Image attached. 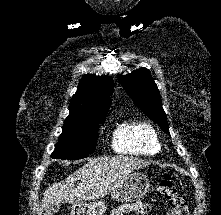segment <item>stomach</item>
<instances>
[{"mask_svg": "<svg viewBox=\"0 0 221 215\" xmlns=\"http://www.w3.org/2000/svg\"><path fill=\"white\" fill-rule=\"evenodd\" d=\"M150 187L148 177L139 172L129 174L113 191L111 198L118 202H133L143 197ZM106 205L104 201L94 203L77 202L71 209V215H104Z\"/></svg>", "mask_w": 221, "mask_h": 215, "instance_id": "1", "label": "stomach"}]
</instances>
